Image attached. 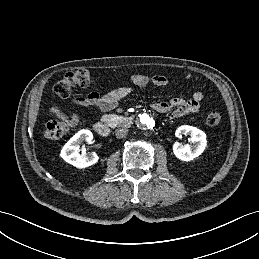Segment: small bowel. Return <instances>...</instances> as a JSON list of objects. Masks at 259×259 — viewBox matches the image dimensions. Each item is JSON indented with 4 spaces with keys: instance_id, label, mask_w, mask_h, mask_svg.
<instances>
[{
    "instance_id": "1",
    "label": "small bowel",
    "mask_w": 259,
    "mask_h": 259,
    "mask_svg": "<svg viewBox=\"0 0 259 259\" xmlns=\"http://www.w3.org/2000/svg\"><path fill=\"white\" fill-rule=\"evenodd\" d=\"M188 79H198L191 74H186ZM131 82L139 89H147L150 85L155 87H163L167 85L168 80L164 75L155 74L148 76L146 74L137 73L131 76ZM130 93L129 87H118L105 95H100L97 91L91 90L86 95L74 98L71 101L73 106H97L103 111H110L115 109L119 102L124 99ZM203 100V94L201 92H195L192 96L184 100L182 98H172L169 101H157L152 104V108L159 113H166L172 109V117L180 118L188 114H194L198 112L200 103ZM51 114L58 117L61 120H70L71 125H75L78 122V116L74 112L67 113L60 108H52Z\"/></svg>"
}]
</instances>
